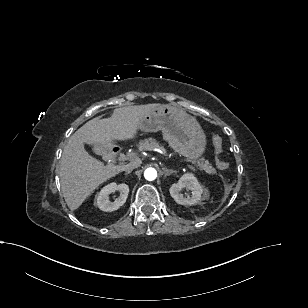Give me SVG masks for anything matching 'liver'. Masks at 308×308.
I'll return each mask as SVG.
<instances>
[{
    "mask_svg": "<svg viewBox=\"0 0 308 308\" xmlns=\"http://www.w3.org/2000/svg\"><path fill=\"white\" fill-rule=\"evenodd\" d=\"M160 106L146 104L117 108L110 118L96 117L69 138L62 153L59 176L63 196L70 210L79 208L97 187L126 168V165H104L85 150L84 144L102 150L111 147L113 140L132 139L137 134L140 119Z\"/></svg>",
    "mask_w": 308,
    "mask_h": 308,
    "instance_id": "liver-1",
    "label": "liver"
}]
</instances>
